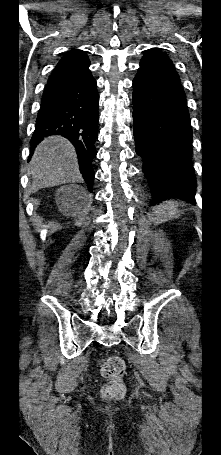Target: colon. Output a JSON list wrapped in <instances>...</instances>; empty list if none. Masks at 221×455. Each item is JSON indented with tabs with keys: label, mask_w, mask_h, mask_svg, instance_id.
<instances>
[{
	"label": "colon",
	"mask_w": 221,
	"mask_h": 455,
	"mask_svg": "<svg viewBox=\"0 0 221 455\" xmlns=\"http://www.w3.org/2000/svg\"><path fill=\"white\" fill-rule=\"evenodd\" d=\"M100 371L102 376L107 379V383L102 387V396L106 399L121 398L125 391L123 382L124 360L119 356L110 355L102 361Z\"/></svg>",
	"instance_id": "5ec220e1"
}]
</instances>
